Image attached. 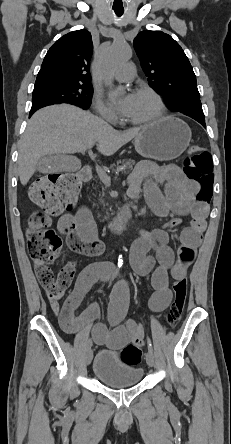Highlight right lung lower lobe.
Listing matches in <instances>:
<instances>
[{"instance_id":"1","label":"right lung lower lobe","mask_w":231,"mask_h":444,"mask_svg":"<svg viewBox=\"0 0 231 444\" xmlns=\"http://www.w3.org/2000/svg\"><path fill=\"white\" fill-rule=\"evenodd\" d=\"M37 109H31L29 117H31V115L36 111Z\"/></svg>"}]
</instances>
